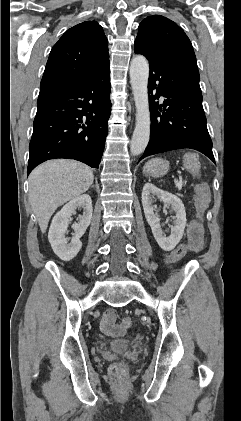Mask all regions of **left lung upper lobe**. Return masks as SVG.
Listing matches in <instances>:
<instances>
[{"instance_id": "5c2ea615", "label": "left lung upper lobe", "mask_w": 241, "mask_h": 421, "mask_svg": "<svg viewBox=\"0 0 241 421\" xmlns=\"http://www.w3.org/2000/svg\"><path fill=\"white\" fill-rule=\"evenodd\" d=\"M135 43L156 56L189 62L197 67L189 38L175 22L164 16L145 18L139 25Z\"/></svg>"}]
</instances>
